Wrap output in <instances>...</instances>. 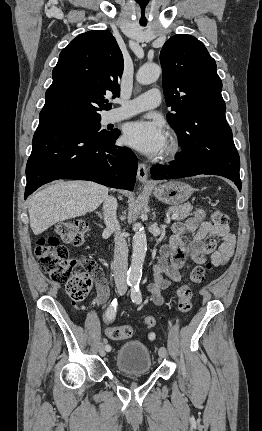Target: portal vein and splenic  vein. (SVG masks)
I'll return each mask as SVG.
<instances>
[{"label":"portal vein and splenic vein","instance_id":"portal-vein-and-splenic-vein-1","mask_svg":"<svg viewBox=\"0 0 262 431\" xmlns=\"http://www.w3.org/2000/svg\"><path fill=\"white\" fill-rule=\"evenodd\" d=\"M178 217H179V215H178V214H173V215L171 216V218H168V219H167L166 223H167V224H169V223H170V219L175 220V219H177Z\"/></svg>","mask_w":262,"mask_h":431}]
</instances>
